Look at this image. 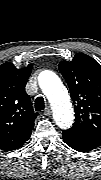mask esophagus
I'll return each instance as SVG.
<instances>
[{"instance_id":"34e87169","label":"esophagus","mask_w":101,"mask_h":180,"mask_svg":"<svg viewBox=\"0 0 101 180\" xmlns=\"http://www.w3.org/2000/svg\"><path fill=\"white\" fill-rule=\"evenodd\" d=\"M51 113L52 112H51L50 107H46L45 110H44V114L48 116V115H51Z\"/></svg>"}]
</instances>
